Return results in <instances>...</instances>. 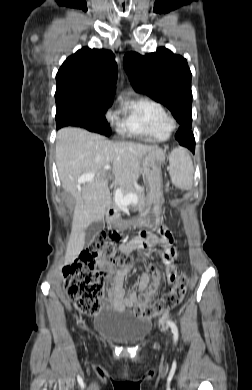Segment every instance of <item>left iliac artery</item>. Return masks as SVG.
Segmentation results:
<instances>
[{"label": "left iliac artery", "mask_w": 252, "mask_h": 390, "mask_svg": "<svg viewBox=\"0 0 252 390\" xmlns=\"http://www.w3.org/2000/svg\"><path fill=\"white\" fill-rule=\"evenodd\" d=\"M167 323H168V325L171 328V331H172V334H173V340L176 343L177 340H178V328H177L176 324L173 321H171V320H167Z\"/></svg>", "instance_id": "1"}]
</instances>
